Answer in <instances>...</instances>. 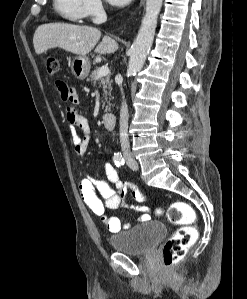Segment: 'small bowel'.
I'll return each mask as SVG.
<instances>
[{
  "mask_svg": "<svg viewBox=\"0 0 247 299\" xmlns=\"http://www.w3.org/2000/svg\"><path fill=\"white\" fill-rule=\"evenodd\" d=\"M56 87L63 101L72 105L79 103L77 92L73 87L60 80L56 81ZM66 118L69 124L74 151L79 158H83L92 138L89 121L82 112L73 107L67 108ZM76 127L82 131L83 136H79ZM104 173L106 181L87 176L80 181L79 190L82 200L88 208L101 218L111 233H117L122 228H128L129 224L122 223L118 217L109 215L108 211L116 210L121 206L137 212H150V209L146 206L126 205L124 203L127 188L130 185L124 183L119 178L115 167L111 163H104ZM96 189L99 191L101 198L97 195ZM133 197L139 202L146 200L145 195L138 196L134 192ZM149 219V214H143L139 218L141 221Z\"/></svg>",
  "mask_w": 247,
  "mask_h": 299,
  "instance_id": "1",
  "label": "small bowel"
}]
</instances>
